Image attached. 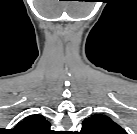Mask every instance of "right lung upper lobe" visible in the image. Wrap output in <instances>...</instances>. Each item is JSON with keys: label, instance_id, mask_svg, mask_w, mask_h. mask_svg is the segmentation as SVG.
Here are the masks:
<instances>
[{"label": "right lung upper lobe", "instance_id": "1", "mask_svg": "<svg viewBox=\"0 0 137 134\" xmlns=\"http://www.w3.org/2000/svg\"><path fill=\"white\" fill-rule=\"evenodd\" d=\"M50 122L42 115H30L13 129L17 134H51Z\"/></svg>", "mask_w": 137, "mask_h": 134}]
</instances>
